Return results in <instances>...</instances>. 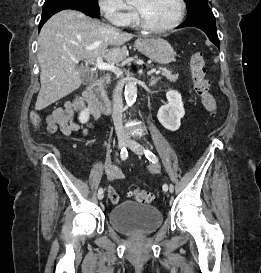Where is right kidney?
Masks as SVG:
<instances>
[{"mask_svg":"<svg viewBox=\"0 0 261 273\" xmlns=\"http://www.w3.org/2000/svg\"><path fill=\"white\" fill-rule=\"evenodd\" d=\"M89 115H90V109L86 108L85 110H83L80 115H79V121L81 123H87L89 120Z\"/></svg>","mask_w":261,"mask_h":273,"instance_id":"obj_1","label":"right kidney"}]
</instances>
